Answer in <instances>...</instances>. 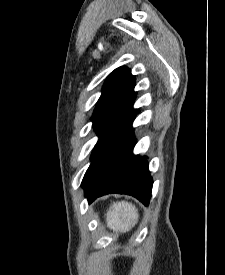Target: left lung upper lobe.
Here are the masks:
<instances>
[{
  "label": "left lung upper lobe",
  "instance_id": "obj_1",
  "mask_svg": "<svg viewBox=\"0 0 225 275\" xmlns=\"http://www.w3.org/2000/svg\"><path fill=\"white\" fill-rule=\"evenodd\" d=\"M135 79L125 67L115 69L107 78L97 102L92 121L99 139L92 152V162L82 183L90 176L97 161L131 129L137 113L133 109Z\"/></svg>",
  "mask_w": 225,
  "mask_h": 275
}]
</instances>
